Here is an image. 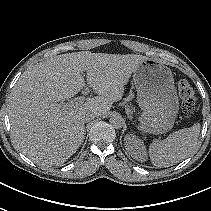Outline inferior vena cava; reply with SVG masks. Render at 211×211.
<instances>
[{"label":"inferior vena cava","instance_id":"obj_1","mask_svg":"<svg viewBox=\"0 0 211 211\" xmlns=\"http://www.w3.org/2000/svg\"><path fill=\"white\" fill-rule=\"evenodd\" d=\"M95 114L94 113H86V114H83V120L84 122H89L90 120L94 119L95 118Z\"/></svg>","mask_w":211,"mask_h":211}]
</instances>
